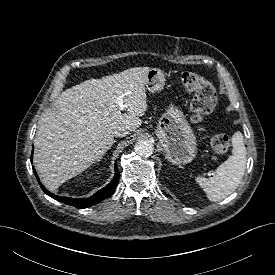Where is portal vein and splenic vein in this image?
Returning <instances> with one entry per match:
<instances>
[{
    "mask_svg": "<svg viewBox=\"0 0 275 275\" xmlns=\"http://www.w3.org/2000/svg\"><path fill=\"white\" fill-rule=\"evenodd\" d=\"M117 101H118V105H119V108L120 110H124L127 106L124 104V101H123V95H120L117 97Z\"/></svg>",
    "mask_w": 275,
    "mask_h": 275,
    "instance_id": "portal-vein-and-splenic-vein-1",
    "label": "portal vein and splenic vein"
}]
</instances>
